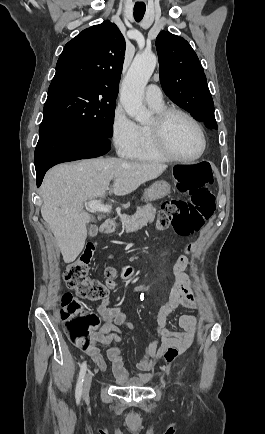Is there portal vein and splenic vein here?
<instances>
[{"label": "portal vein and splenic vein", "mask_w": 265, "mask_h": 434, "mask_svg": "<svg viewBox=\"0 0 265 434\" xmlns=\"http://www.w3.org/2000/svg\"><path fill=\"white\" fill-rule=\"evenodd\" d=\"M86 210H89V212H104V214L111 212L110 206H104L102 200H90V202H86ZM122 218L129 222V216H122Z\"/></svg>", "instance_id": "obj_1"}]
</instances>
